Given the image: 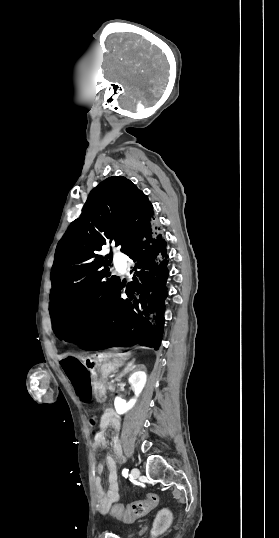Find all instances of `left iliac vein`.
<instances>
[{
    "label": "left iliac vein",
    "mask_w": 279,
    "mask_h": 538,
    "mask_svg": "<svg viewBox=\"0 0 279 538\" xmlns=\"http://www.w3.org/2000/svg\"><path fill=\"white\" fill-rule=\"evenodd\" d=\"M131 475L133 478L137 479L140 476V471L138 468H133L131 470Z\"/></svg>",
    "instance_id": "obj_1"
}]
</instances>
